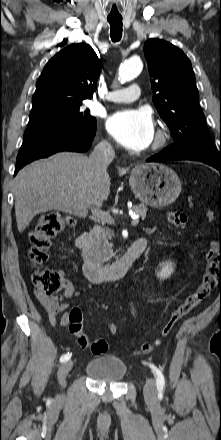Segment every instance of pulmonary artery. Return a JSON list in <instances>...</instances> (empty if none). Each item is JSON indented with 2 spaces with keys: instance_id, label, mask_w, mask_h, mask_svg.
Listing matches in <instances>:
<instances>
[{
  "instance_id": "e3ab8cb5",
  "label": "pulmonary artery",
  "mask_w": 221,
  "mask_h": 440,
  "mask_svg": "<svg viewBox=\"0 0 221 440\" xmlns=\"http://www.w3.org/2000/svg\"><path fill=\"white\" fill-rule=\"evenodd\" d=\"M140 96V87L133 84L128 88L114 90L107 95V100L111 102L127 103L138 99Z\"/></svg>"
}]
</instances>
